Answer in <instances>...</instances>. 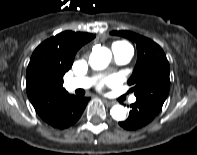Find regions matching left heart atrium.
<instances>
[{
	"label": "left heart atrium",
	"instance_id": "left-heart-atrium-1",
	"mask_svg": "<svg viewBox=\"0 0 197 155\" xmlns=\"http://www.w3.org/2000/svg\"><path fill=\"white\" fill-rule=\"evenodd\" d=\"M103 84L111 85V86L116 85L117 84V78L116 77H109L103 82Z\"/></svg>",
	"mask_w": 197,
	"mask_h": 155
}]
</instances>
